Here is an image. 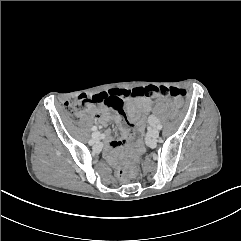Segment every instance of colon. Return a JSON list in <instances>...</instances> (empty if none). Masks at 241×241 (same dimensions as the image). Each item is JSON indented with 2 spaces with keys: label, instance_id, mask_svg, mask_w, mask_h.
<instances>
[{
  "label": "colon",
  "instance_id": "1",
  "mask_svg": "<svg viewBox=\"0 0 241 241\" xmlns=\"http://www.w3.org/2000/svg\"><path fill=\"white\" fill-rule=\"evenodd\" d=\"M185 92L179 88H167V87H157V86H147L144 88H109L103 90L95 95L81 94L65 103V112L68 116L76 118L80 115L82 110L87 106L91 105H108L113 107L116 111H122V101L125 97H173L174 99H180L184 97ZM181 112V107L179 105H174L172 107L171 117L169 122L174 124L176 122V117ZM120 177H123L122 171Z\"/></svg>",
  "mask_w": 241,
  "mask_h": 241
}]
</instances>
